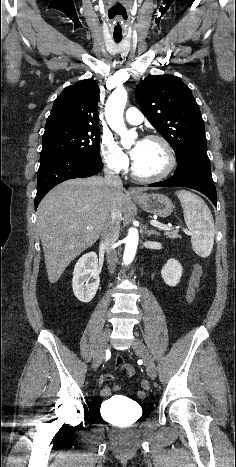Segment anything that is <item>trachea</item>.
Instances as JSON below:
<instances>
[{"label": "trachea", "mask_w": 236, "mask_h": 467, "mask_svg": "<svg viewBox=\"0 0 236 467\" xmlns=\"http://www.w3.org/2000/svg\"><path fill=\"white\" fill-rule=\"evenodd\" d=\"M114 40H115L116 42H120V41L122 40V38H116V37H115Z\"/></svg>", "instance_id": "1"}]
</instances>
